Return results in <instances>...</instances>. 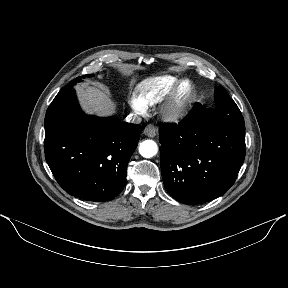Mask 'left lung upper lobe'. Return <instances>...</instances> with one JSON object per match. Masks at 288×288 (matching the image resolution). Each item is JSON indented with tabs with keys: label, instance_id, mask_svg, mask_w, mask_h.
I'll return each mask as SVG.
<instances>
[{
	"label": "left lung upper lobe",
	"instance_id": "obj_1",
	"mask_svg": "<svg viewBox=\"0 0 288 288\" xmlns=\"http://www.w3.org/2000/svg\"><path fill=\"white\" fill-rule=\"evenodd\" d=\"M215 101V108L206 110V114L210 119L245 130L244 118L238 106L222 86L215 90Z\"/></svg>",
	"mask_w": 288,
	"mask_h": 288
}]
</instances>
